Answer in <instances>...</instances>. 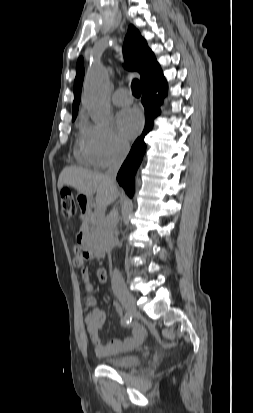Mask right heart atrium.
Instances as JSON below:
<instances>
[{
  "label": "right heart atrium",
  "instance_id": "obj_1",
  "mask_svg": "<svg viewBox=\"0 0 253 413\" xmlns=\"http://www.w3.org/2000/svg\"><path fill=\"white\" fill-rule=\"evenodd\" d=\"M82 144L91 164L98 168H105L122 159L129 148L128 143L108 124L88 125Z\"/></svg>",
  "mask_w": 253,
  "mask_h": 413
}]
</instances>
